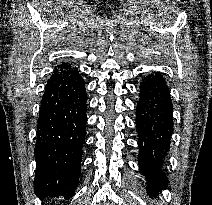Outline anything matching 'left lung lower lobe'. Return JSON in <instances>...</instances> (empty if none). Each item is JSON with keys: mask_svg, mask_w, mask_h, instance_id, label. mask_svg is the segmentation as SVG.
I'll use <instances>...</instances> for the list:
<instances>
[{"mask_svg": "<svg viewBox=\"0 0 212 205\" xmlns=\"http://www.w3.org/2000/svg\"><path fill=\"white\" fill-rule=\"evenodd\" d=\"M139 97L135 119L138 160L143 176L148 179V193L155 197L166 188L168 181L162 167L170 149L173 106L169 87L159 72L144 77Z\"/></svg>", "mask_w": 212, "mask_h": 205, "instance_id": "0a47b994", "label": "left lung lower lobe"}]
</instances>
